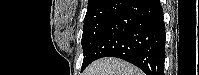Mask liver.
Wrapping results in <instances>:
<instances>
[{
    "mask_svg": "<svg viewBox=\"0 0 199 75\" xmlns=\"http://www.w3.org/2000/svg\"><path fill=\"white\" fill-rule=\"evenodd\" d=\"M83 75H143V72L118 58H101L91 63Z\"/></svg>",
    "mask_w": 199,
    "mask_h": 75,
    "instance_id": "obj_1",
    "label": "liver"
}]
</instances>
